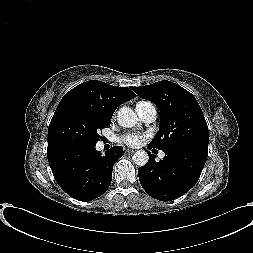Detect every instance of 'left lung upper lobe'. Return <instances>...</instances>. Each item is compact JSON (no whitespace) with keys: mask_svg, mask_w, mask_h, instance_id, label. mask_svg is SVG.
Listing matches in <instances>:
<instances>
[{"mask_svg":"<svg viewBox=\"0 0 253 253\" xmlns=\"http://www.w3.org/2000/svg\"><path fill=\"white\" fill-rule=\"evenodd\" d=\"M132 89L139 97L152 101L160 111L159 131L149 144L151 147L208 154V126L190 92L167 80Z\"/></svg>","mask_w":253,"mask_h":253,"instance_id":"5c2ea615","label":"left lung upper lobe"}]
</instances>
